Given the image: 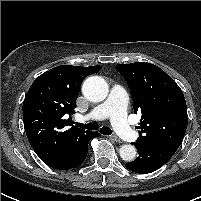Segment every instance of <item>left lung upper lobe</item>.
I'll return each instance as SVG.
<instances>
[{
    "mask_svg": "<svg viewBox=\"0 0 201 201\" xmlns=\"http://www.w3.org/2000/svg\"><path fill=\"white\" fill-rule=\"evenodd\" d=\"M116 70L130 88L134 112H141V145L180 146L188 116L184 94L176 82L150 63L118 64Z\"/></svg>",
    "mask_w": 201,
    "mask_h": 201,
    "instance_id": "left-lung-upper-lobe-1",
    "label": "left lung upper lobe"
}]
</instances>
